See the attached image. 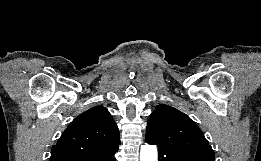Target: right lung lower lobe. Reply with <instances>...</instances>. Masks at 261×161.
<instances>
[{
    "label": "right lung lower lobe",
    "mask_w": 261,
    "mask_h": 161,
    "mask_svg": "<svg viewBox=\"0 0 261 161\" xmlns=\"http://www.w3.org/2000/svg\"><path fill=\"white\" fill-rule=\"evenodd\" d=\"M117 151L118 147L99 154L78 157L72 161H116L114 155Z\"/></svg>",
    "instance_id": "right-lung-lower-lobe-1"
}]
</instances>
